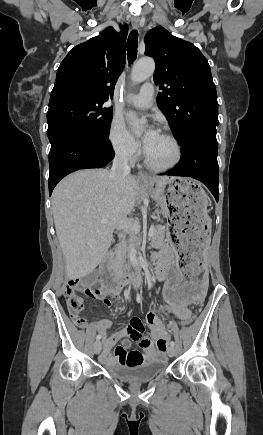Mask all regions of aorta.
Returning a JSON list of instances; mask_svg holds the SVG:
<instances>
[{"label":"aorta","mask_w":263,"mask_h":435,"mask_svg":"<svg viewBox=\"0 0 263 435\" xmlns=\"http://www.w3.org/2000/svg\"><path fill=\"white\" fill-rule=\"evenodd\" d=\"M155 71V62L152 58L140 59L133 67L131 79L133 82L139 83L145 81ZM134 236L131 234L129 238V259L134 267L138 265L136 250L133 244Z\"/></svg>","instance_id":"1"}]
</instances>
